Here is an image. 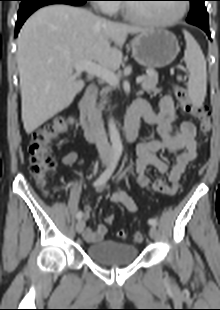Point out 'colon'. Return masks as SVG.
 I'll return each instance as SVG.
<instances>
[{"label":"colon","mask_w":220,"mask_h":310,"mask_svg":"<svg viewBox=\"0 0 220 310\" xmlns=\"http://www.w3.org/2000/svg\"><path fill=\"white\" fill-rule=\"evenodd\" d=\"M174 94L181 105L182 110L194 117L199 122V130L202 139L204 140L211 131L212 121L209 110L203 104L196 103L190 99L187 90L180 85L174 87ZM70 126V121L67 119H59L53 124L47 125L34 132L32 141L29 145L30 167L31 174L36 178L38 185L45 186L49 174L56 166L55 159L51 154V146L59 135L65 133ZM115 216L108 215L106 222L112 224ZM117 237L125 239L127 232L119 230ZM132 239L136 243H141L144 240L142 232H135Z\"/></svg>","instance_id":"obj_1"}]
</instances>
